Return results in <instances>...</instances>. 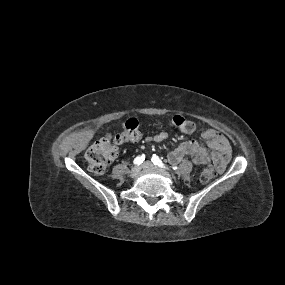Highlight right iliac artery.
<instances>
[{
    "instance_id": "obj_1",
    "label": "right iliac artery",
    "mask_w": 285,
    "mask_h": 285,
    "mask_svg": "<svg viewBox=\"0 0 285 285\" xmlns=\"http://www.w3.org/2000/svg\"><path fill=\"white\" fill-rule=\"evenodd\" d=\"M144 160H145V155L142 154V155L137 156V157L134 159L133 163H134L135 165H140L141 163H143Z\"/></svg>"
}]
</instances>
